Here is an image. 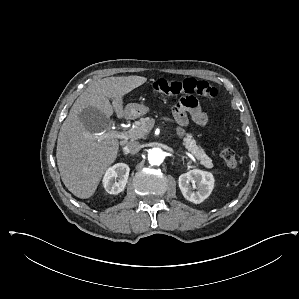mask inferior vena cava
I'll return each instance as SVG.
<instances>
[{"label": "inferior vena cava", "instance_id": "1", "mask_svg": "<svg viewBox=\"0 0 299 299\" xmlns=\"http://www.w3.org/2000/svg\"><path fill=\"white\" fill-rule=\"evenodd\" d=\"M140 149L141 146L137 142H129L125 147V150L132 154H136Z\"/></svg>", "mask_w": 299, "mask_h": 299}]
</instances>
